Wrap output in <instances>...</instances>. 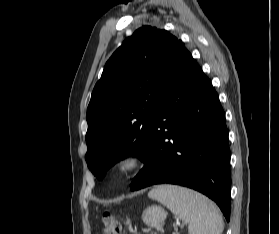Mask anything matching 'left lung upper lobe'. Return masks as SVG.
Segmentation results:
<instances>
[{
    "label": "left lung upper lobe",
    "instance_id": "left-lung-upper-lobe-1",
    "mask_svg": "<svg viewBox=\"0 0 279 234\" xmlns=\"http://www.w3.org/2000/svg\"><path fill=\"white\" fill-rule=\"evenodd\" d=\"M183 49L168 31L143 26L107 61L86 115V162L98 179L126 156L145 160L155 110Z\"/></svg>",
    "mask_w": 279,
    "mask_h": 234
}]
</instances>
